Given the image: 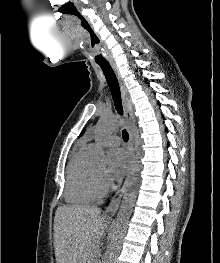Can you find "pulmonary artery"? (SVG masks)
Listing matches in <instances>:
<instances>
[{
    "instance_id": "e3ab8cb5",
    "label": "pulmonary artery",
    "mask_w": 220,
    "mask_h": 263,
    "mask_svg": "<svg viewBox=\"0 0 220 263\" xmlns=\"http://www.w3.org/2000/svg\"><path fill=\"white\" fill-rule=\"evenodd\" d=\"M121 142V139L114 135V136H110L107 139H105L102 143L103 146H118ZM90 149L94 150L97 148V144L95 143H90L87 145Z\"/></svg>"
}]
</instances>
